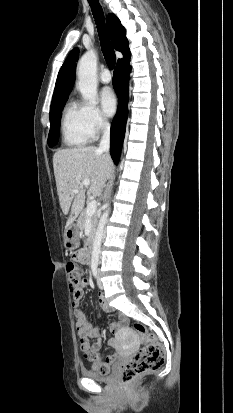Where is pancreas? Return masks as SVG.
Returning a JSON list of instances; mask_svg holds the SVG:
<instances>
[{
	"mask_svg": "<svg viewBox=\"0 0 233 413\" xmlns=\"http://www.w3.org/2000/svg\"><path fill=\"white\" fill-rule=\"evenodd\" d=\"M87 219H90V223H91V230H90V234L88 235V239H87V244H88L94 238L96 225H97V216L94 214L91 217H88L86 210L82 211L77 220V226L79 227L80 230L83 231L85 229V223Z\"/></svg>",
	"mask_w": 233,
	"mask_h": 413,
	"instance_id": "pancreas-1",
	"label": "pancreas"
}]
</instances>
